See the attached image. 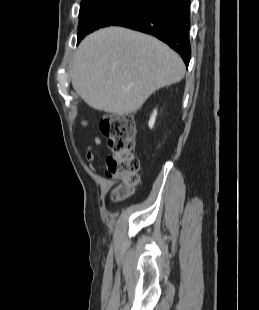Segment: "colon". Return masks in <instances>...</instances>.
Listing matches in <instances>:
<instances>
[{
	"label": "colon",
	"mask_w": 259,
	"mask_h": 310,
	"mask_svg": "<svg viewBox=\"0 0 259 310\" xmlns=\"http://www.w3.org/2000/svg\"><path fill=\"white\" fill-rule=\"evenodd\" d=\"M100 130L106 138L110 155L106 159L107 175L122 180L114 199L121 201L138 181L139 160L134 153L136 126L131 116H104Z\"/></svg>",
	"instance_id": "colon-1"
}]
</instances>
